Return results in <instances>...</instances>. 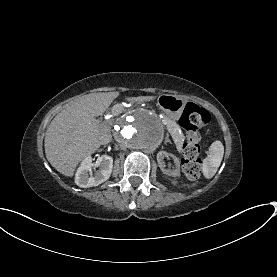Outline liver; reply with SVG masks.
Segmentation results:
<instances>
[{"label": "liver", "mask_w": 277, "mask_h": 277, "mask_svg": "<svg viewBox=\"0 0 277 277\" xmlns=\"http://www.w3.org/2000/svg\"><path fill=\"white\" fill-rule=\"evenodd\" d=\"M119 92L93 93L58 113L45 134L47 160L60 173L73 176L80 161L111 141V126L95 117L103 114ZM154 96L129 97V102L154 100Z\"/></svg>", "instance_id": "liver-1"}]
</instances>
